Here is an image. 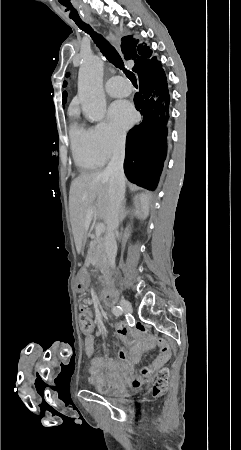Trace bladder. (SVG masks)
I'll return each instance as SVG.
<instances>
[{
	"instance_id": "obj_1",
	"label": "bladder",
	"mask_w": 241,
	"mask_h": 450,
	"mask_svg": "<svg viewBox=\"0 0 241 450\" xmlns=\"http://www.w3.org/2000/svg\"><path fill=\"white\" fill-rule=\"evenodd\" d=\"M111 393H113V394H118V393H119V390H118V389H113V390L111 391Z\"/></svg>"
}]
</instances>
